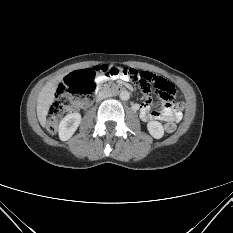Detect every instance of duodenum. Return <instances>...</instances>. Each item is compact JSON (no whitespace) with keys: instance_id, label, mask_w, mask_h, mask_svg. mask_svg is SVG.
Returning <instances> with one entry per match:
<instances>
[{"instance_id":"1","label":"duodenum","mask_w":233,"mask_h":233,"mask_svg":"<svg viewBox=\"0 0 233 233\" xmlns=\"http://www.w3.org/2000/svg\"><path fill=\"white\" fill-rule=\"evenodd\" d=\"M122 90V87L117 84H112L108 82H101L97 87V94L99 93H115Z\"/></svg>"}]
</instances>
